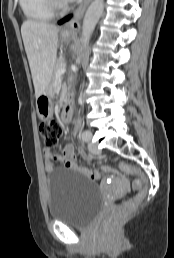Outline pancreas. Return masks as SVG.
Returning a JSON list of instances; mask_svg holds the SVG:
<instances>
[{
    "label": "pancreas",
    "instance_id": "pancreas-1",
    "mask_svg": "<svg viewBox=\"0 0 174 258\" xmlns=\"http://www.w3.org/2000/svg\"><path fill=\"white\" fill-rule=\"evenodd\" d=\"M65 65H66L65 62L62 61V60L58 61V62L56 63V65H55V68H54V71H53V75H52L51 88H50V92H51L52 95H53V93H54V89H53L54 82H55L56 77H57V76H56V73H57V71H58L59 69L65 67Z\"/></svg>",
    "mask_w": 174,
    "mask_h": 258
}]
</instances>
